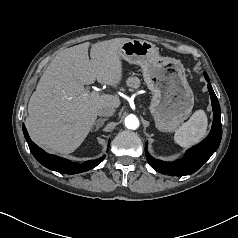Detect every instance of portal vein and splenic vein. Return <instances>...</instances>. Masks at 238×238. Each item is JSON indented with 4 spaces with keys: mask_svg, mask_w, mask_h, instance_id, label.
Returning a JSON list of instances; mask_svg holds the SVG:
<instances>
[{
    "mask_svg": "<svg viewBox=\"0 0 238 238\" xmlns=\"http://www.w3.org/2000/svg\"><path fill=\"white\" fill-rule=\"evenodd\" d=\"M93 93H94L95 95H99L98 91H94Z\"/></svg>",
    "mask_w": 238,
    "mask_h": 238,
    "instance_id": "portal-vein-and-splenic-vein-1",
    "label": "portal vein and splenic vein"
}]
</instances>
